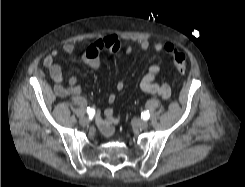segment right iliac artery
<instances>
[{"label": "right iliac artery", "mask_w": 245, "mask_h": 187, "mask_svg": "<svg viewBox=\"0 0 245 187\" xmlns=\"http://www.w3.org/2000/svg\"><path fill=\"white\" fill-rule=\"evenodd\" d=\"M87 113L89 115V117H93L95 114V110L93 108H87Z\"/></svg>", "instance_id": "obj_1"}]
</instances>
